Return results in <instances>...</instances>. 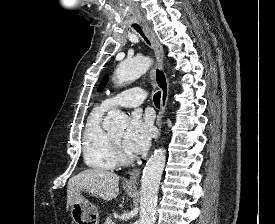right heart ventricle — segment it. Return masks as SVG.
Segmentation results:
<instances>
[{
  "label": "right heart ventricle",
  "mask_w": 275,
  "mask_h": 224,
  "mask_svg": "<svg viewBox=\"0 0 275 224\" xmlns=\"http://www.w3.org/2000/svg\"><path fill=\"white\" fill-rule=\"evenodd\" d=\"M102 106L89 114L83 131V157L86 165L96 170H112L117 167L108 133L102 127L105 114Z\"/></svg>",
  "instance_id": "1"
}]
</instances>
